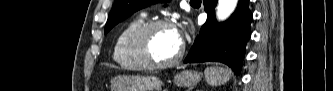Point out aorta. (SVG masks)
Masks as SVG:
<instances>
[{"label":"aorta","instance_id":"aorta-1","mask_svg":"<svg viewBox=\"0 0 333 91\" xmlns=\"http://www.w3.org/2000/svg\"><path fill=\"white\" fill-rule=\"evenodd\" d=\"M238 0H219L216 16L219 21L227 19L237 6Z\"/></svg>","mask_w":333,"mask_h":91}]
</instances>
